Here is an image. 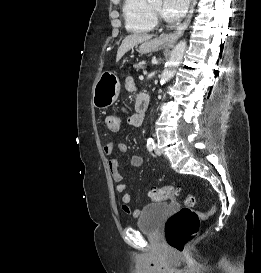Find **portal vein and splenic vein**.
Returning a JSON list of instances; mask_svg holds the SVG:
<instances>
[{"label": "portal vein and splenic vein", "mask_w": 261, "mask_h": 273, "mask_svg": "<svg viewBox=\"0 0 261 273\" xmlns=\"http://www.w3.org/2000/svg\"><path fill=\"white\" fill-rule=\"evenodd\" d=\"M139 79H140V80H143V79H144L143 75L139 76Z\"/></svg>", "instance_id": "1"}]
</instances>
